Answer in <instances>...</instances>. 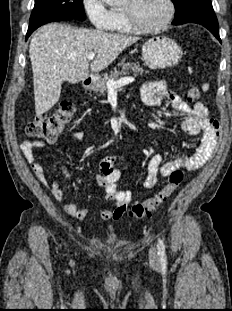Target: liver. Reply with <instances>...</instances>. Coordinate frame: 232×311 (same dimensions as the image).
<instances>
[{
  "label": "liver",
  "instance_id": "6515ba94",
  "mask_svg": "<svg viewBox=\"0 0 232 311\" xmlns=\"http://www.w3.org/2000/svg\"><path fill=\"white\" fill-rule=\"evenodd\" d=\"M138 37L61 24L41 27L33 36L29 56L33 71L35 112L41 115L59 100L61 85L78 83L108 67ZM97 53L89 65L88 54Z\"/></svg>",
  "mask_w": 232,
  "mask_h": 311
}]
</instances>
